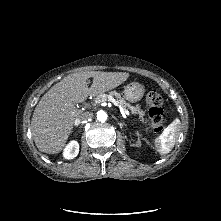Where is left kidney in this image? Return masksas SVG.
Here are the masks:
<instances>
[{
  "mask_svg": "<svg viewBox=\"0 0 221 221\" xmlns=\"http://www.w3.org/2000/svg\"><path fill=\"white\" fill-rule=\"evenodd\" d=\"M133 146H137V147L141 146V141H140V139H139V135H138V141H137V143H136V144H133Z\"/></svg>",
  "mask_w": 221,
  "mask_h": 221,
  "instance_id": "1",
  "label": "left kidney"
}]
</instances>
